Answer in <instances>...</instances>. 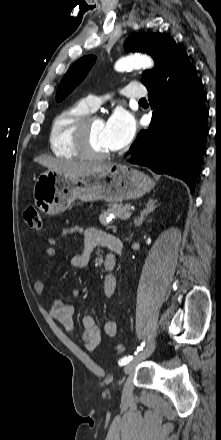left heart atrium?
I'll list each match as a JSON object with an SVG mask.
<instances>
[{
  "label": "left heart atrium",
  "mask_w": 221,
  "mask_h": 440,
  "mask_svg": "<svg viewBox=\"0 0 221 440\" xmlns=\"http://www.w3.org/2000/svg\"><path fill=\"white\" fill-rule=\"evenodd\" d=\"M135 132L133 115L123 108L116 109L104 126V137L110 150H118L129 144Z\"/></svg>",
  "instance_id": "39dd6f15"
}]
</instances>
